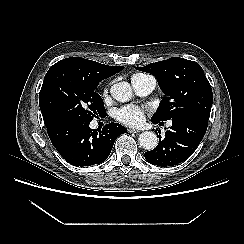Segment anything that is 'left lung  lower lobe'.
I'll return each instance as SVG.
<instances>
[{
	"label": "left lung lower lobe",
	"instance_id": "1",
	"mask_svg": "<svg viewBox=\"0 0 244 244\" xmlns=\"http://www.w3.org/2000/svg\"><path fill=\"white\" fill-rule=\"evenodd\" d=\"M171 120L172 126L166 130L165 137L159 135L157 147L145 152V159L151 164L166 167L185 161L200 144L208 126V119L193 114L177 116ZM151 121L154 124L160 122Z\"/></svg>",
	"mask_w": 244,
	"mask_h": 244
}]
</instances>
